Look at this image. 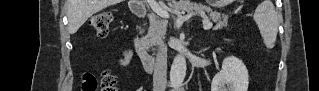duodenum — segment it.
Listing matches in <instances>:
<instances>
[{"mask_svg":"<svg viewBox=\"0 0 319 91\" xmlns=\"http://www.w3.org/2000/svg\"><path fill=\"white\" fill-rule=\"evenodd\" d=\"M133 12L140 19L147 16V9L142 4H137L133 7ZM135 52L146 72H152L155 67V58L148 52L145 37L142 31L138 30L133 38Z\"/></svg>","mask_w":319,"mask_h":91,"instance_id":"1","label":"duodenum"}]
</instances>
